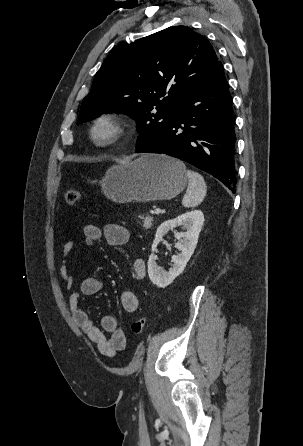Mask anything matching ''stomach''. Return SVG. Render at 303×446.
I'll list each match as a JSON object with an SVG mask.
<instances>
[{
  "instance_id": "obj_1",
  "label": "stomach",
  "mask_w": 303,
  "mask_h": 446,
  "mask_svg": "<svg viewBox=\"0 0 303 446\" xmlns=\"http://www.w3.org/2000/svg\"><path fill=\"white\" fill-rule=\"evenodd\" d=\"M100 183L113 202H148L174 198L184 190L188 177L180 160L145 154L126 165L111 167Z\"/></svg>"
}]
</instances>
